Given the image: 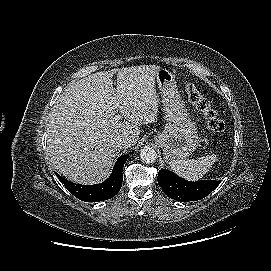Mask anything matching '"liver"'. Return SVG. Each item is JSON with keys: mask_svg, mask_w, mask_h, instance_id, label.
Wrapping results in <instances>:
<instances>
[{"mask_svg": "<svg viewBox=\"0 0 271 271\" xmlns=\"http://www.w3.org/2000/svg\"><path fill=\"white\" fill-rule=\"evenodd\" d=\"M156 65L100 71L72 82L58 97L47 124L48 152L55 169L79 184H96L111 172L120 153L117 139L130 136L135 145L139 125L155 122L158 95ZM119 110L126 122L115 121ZM132 145V146H133Z\"/></svg>", "mask_w": 271, "mask_h": 271, "instance_id": "liver-1", "label": "liver"}]
</instances>
